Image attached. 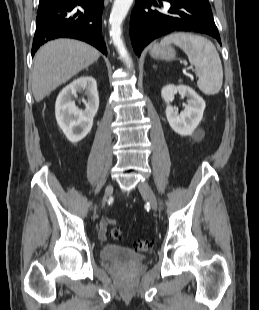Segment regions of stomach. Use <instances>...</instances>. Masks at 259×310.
Here are the masks:
<instances>
[{
  "instance_id": "stomach-1",
  "label": "stomach",
  "mask_w": 259,
  "mask_h": 310,
  "mask_svg": "<svg viewBox=\"0 0 259 310\" xmlns=\"http://www.w3.org/2000/svg\"><path fill=\"white\" fill-rule=\"evenodd\" d=\"M150 55L156 59H163V60H173L175 59L176 52L173 47L170 45L161 46L159 44H154L153 47L150 49Z\"/></svg>"
}]
</instances>
